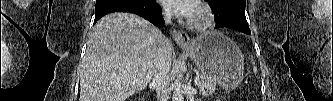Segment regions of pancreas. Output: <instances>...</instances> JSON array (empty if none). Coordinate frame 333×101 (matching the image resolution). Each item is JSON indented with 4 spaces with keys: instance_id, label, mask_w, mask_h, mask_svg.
I'll use <instances>...</instances> for the list:
<instances>
[{
    "instance_id": "cf45deb5",
    "label": "pancreas",
    "mask_w": 333,
    "mask_h": 101,
    "mask_svg": "<svg viewBox=\"0 0 333 101\" xmlns=\"http://www.w3.org/2000/svg\"><path fill=\"white\" fill-rule=\"evenodd\" d=\"M198 88L203 96H210L216 90V83L210 77L202 76Z\"/></svg>"
}]
</instances>
